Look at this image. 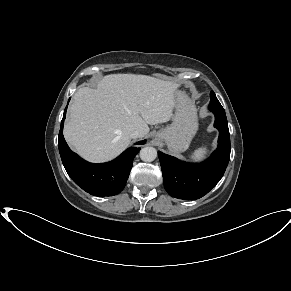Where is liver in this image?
Instances as JSON below:
<instances>
[{
	"label": "liver",
	"instance_id": "obj_1",
	"mask_svg": "<svg viewBox=\"0 0 291 291\" xmlns=\"http://www.w3.org/2000/svg\"><path fill=\"white\" fill-rule=\"evenodd\" d=\"M178 84L135 74H112L98 88H80L69 109L64 137L90 162H105L130 144L133 130L170 120ZM142 136V137H143Z\"/></svg>",
	"mask_w": 291,
	"mask_h": 291
}]
</instances>
